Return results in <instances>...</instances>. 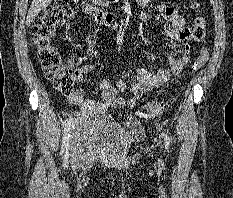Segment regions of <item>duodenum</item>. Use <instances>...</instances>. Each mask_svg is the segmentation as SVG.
<instances>
[{"label":"duodenum","instance_id":"duodenum-1","mask_svg":"<svg viewBox=\"0 0 233 198\" xmlns=\"http://www.w3.org/2000/svg\"><path fill=\"white\" fill-rule=\"evenodd\" d=\"M83 11L89 15H92L95 18V20L100 24H111L115 21L114 15L109 14V13H105L102 11H97L88 2L84 3Z\"/></svg>","mask_w":233,"mask_h":198}]
</instances>
